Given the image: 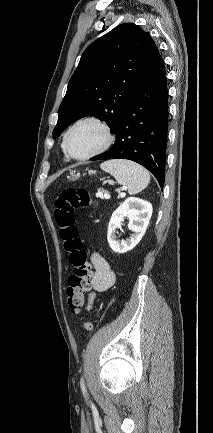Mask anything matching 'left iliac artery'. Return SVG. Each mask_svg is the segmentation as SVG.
I'll list each match as a JSON object with an SVG mask.
<instances>
[{"mask_svg":"<svg viewBox=\"0 0 213 433\" xmlns=\"http://www.w3.org/2000/svg\"><path fill=\"white\" fill-rule=\"evenodd\" d=\"M80 386H81V389H82L83 395L86 397V396H87V390H86V387H85V383H84L83 378H81V380H80Z\"/></svg>","mask_w":213,"mask_h":433,"instance_id":"obj_1","label":"left iliac artery"}]
</instances>
